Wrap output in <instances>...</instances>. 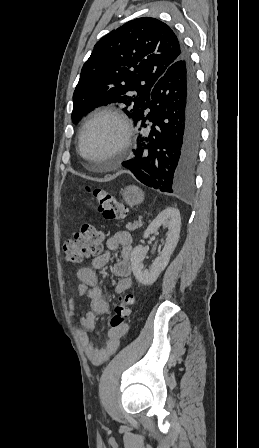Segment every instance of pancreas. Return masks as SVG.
I'll return each instance as SVG.
<instances>
[{"label":"pancreas","instance_id":"pancreas-1","mask_svg":"<svg viewBox=\"0 0 259 448\" xmlns=\"http://www.w3.org/2000/svg\"><path fill=\"white\" fill-rule=\"evenodd\" d=\"M141 226H143L142 222H134V224H131V222H128L126 228H128V230H130V232H134V230H136V228H141Z\"/></svg>","mask_w":259,"mask_h":448}]
</instances>
